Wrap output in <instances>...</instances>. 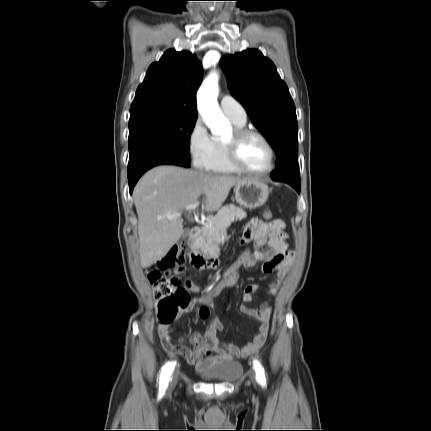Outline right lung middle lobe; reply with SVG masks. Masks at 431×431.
Instances as JSON below:
<instances>
[{
    "label": "right lung middle lobe",
    "mask_w": 431,
    "mask_h": 431,
    "mask_svg": "<svg viewBox=\"0 0 431 431\" xmlns=\"http://www.w3.org/2000/svg\"><path fill=\"white\" fill-rule=\"evenodd\" d=\"M196 117L145 114L129 120L130 156L149 146H162L190 161V135Z\"/></svg>",
    "instance_id": "obj_1"
}]
</instances>
